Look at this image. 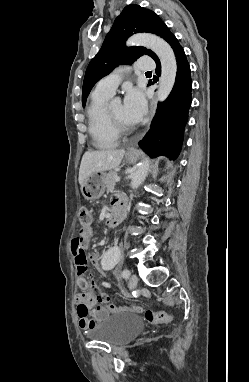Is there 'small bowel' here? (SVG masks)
I'll return each instance as SVG.
<instances>
[{"label":"small bowel","mask_w":249,"mask_h":382,"mask_svg":"<svg viewBox=\"0 0 249 382\" xmlns=\"http://www.w3.org/2000/svg\"><path fill=\"white\" fill-rule=\"evenodd\" d=\"M118 197L113 198V202H117ZM93 230L91 228L81 229L79 235L72 240L70 248L73 250V255H80V250L76 248H85L90 238L93 236ZM88 260L93 262L94 260H103L96 252H89L87 254ZM101 268V267H100ZM94 282H88L85 279L84 282H77L78 287L83 290L82 293L76 296L77 302V314L79 317V326L82 330H90L96 327L103 319L109 314L110 310L100 305L94 298L91 292V284Z\"/></svg>","instance_id":"c3829d8e"}]
</instances>
